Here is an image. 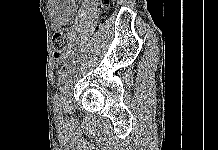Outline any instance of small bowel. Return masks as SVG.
<instances>
[{"label": "small bowel", "instance_id": "1", "mask_svg": "<svg viewBox=\"0 0 218 150\" xmlns=\"http://www.w3.org/2000/svg\"><path fill=\"white\" fill-rule=\"evenodd\" d=\"M54 28L69 23L77 12L74 0H50Z\"/></svg>", "mask_w": 218, "mask_h": 150}]
</instances>
